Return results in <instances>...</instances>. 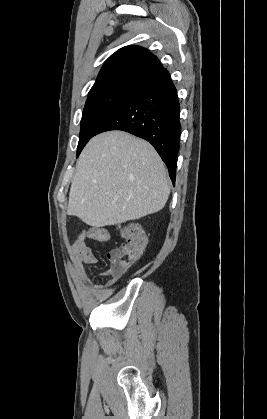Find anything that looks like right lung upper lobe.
<instances>
[{
    "mask_svg": "<svg viewBox=\"0 0 267 419\" xmlns=\"http://www.w3.org/2000/svg\"><path fill=\"white\" fill-rule=\"evenodd\" d=\"M163 69L156 56L140 46H125L112 54L89 95L113 90H135Z\"/></svg>",
    "mask_w": 267,
    "mask_h": 419,
    "instance_id": "cb5924a9",
    "label": "right lung upper lobe"
}]
</instances>
